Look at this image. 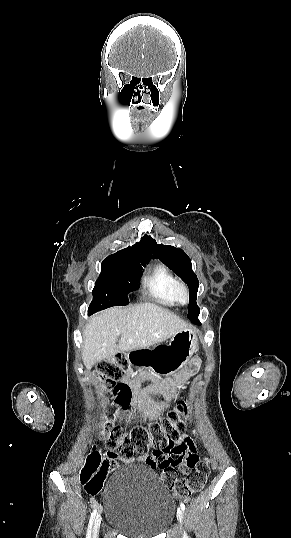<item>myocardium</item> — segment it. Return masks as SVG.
Masks as SVG:
<instances>
[{
	"label": "myocardium",
	"mask_w": 291,
	"mask_h": 538,
	"mask_svg": "<svg viewBox=\"0 0 291 538\" xmlns=\"http://www.w3.org/2000/svg\"><path fill=\"white\" fill-rule=\"evenodd\" d=\"M173 296L178 304H188L190 301V293L187 285L181 281H176L173 287Z\"/></svg>",
	"instance_id": "f54148a6"
}]
</instances>
